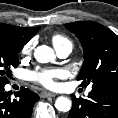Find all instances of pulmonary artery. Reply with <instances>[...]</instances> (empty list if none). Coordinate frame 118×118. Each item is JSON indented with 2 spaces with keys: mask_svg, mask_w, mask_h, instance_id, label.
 Wrapping results in <instances>:
<instances>
[{
  "mask_svg": "<svg viewBox=\"0 0 118 118\" xmlns=\"http://www.w3.org/2000/svg\"><path fill=\"white\" fill-rule=\"evenodd\" d=\"M72 48V45L68 44L62 48L57 49V53L61 58H66L72 52ZM88 91H90V89Z\"/></svg>",
  "mask_w": 118,
  "mask_h": 118,
  "instance_id": "1",
  "label": "pulmonary artery"
}]
</instances>
